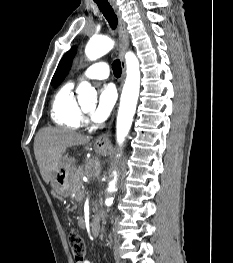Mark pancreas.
Listing matches in <instances>:
<instances>
[{"label": "pancreas", "mask_w": 233, "mask_h": 263, "mask_svg": "<svg viewBox=\"0 0 233 263\" xmlns=\"http://www.w3.org/2000/svg\"><path fill=\"white\" fill-rule=\"evenodd\" d=\"M82 176V172L78 170L72 177V194H75V200L77 201L85 194V191L81 190V186L83 185Z\"/></svg>", "instance_id": "1"}]
</instances>
